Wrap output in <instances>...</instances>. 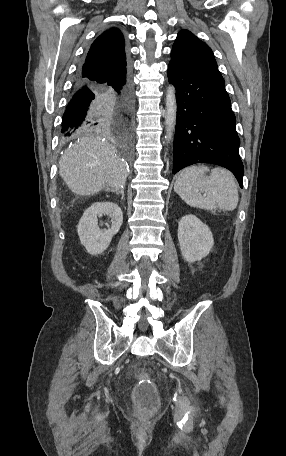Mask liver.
<instances>
[{
	"mask_svg": "<svg viewBox=\"0 0 286 456\" xmlns=\"http://www.w3.org/2000/svg\"><path fill=\"white\" fill-rule=\"evenodd\" d=\"M59 174L77 195L88 196L107 187L119 192L125 185L127 168L116 150L100 138L84 137L66 149L59 160Z\"/></svg>",
	"mask_w": 286,
	"mask_h": 456,
	"instance_id": "6515ba94",
	"label": "liver"
}]
</instances>
